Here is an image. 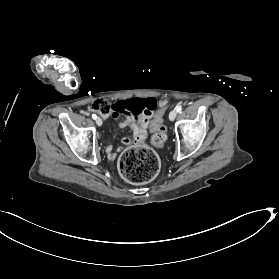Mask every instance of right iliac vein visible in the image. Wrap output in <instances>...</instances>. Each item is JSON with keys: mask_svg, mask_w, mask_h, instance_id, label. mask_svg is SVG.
I'll return each instance as SVG.
<instances>
[{"mask_svg": "<svg viewBox=\"0 0 279 279\" xmlns=\"http://www.w3.org/2000/svg\"><path fill=\"white\" fill-rule=\"evenodd\" d=\"M96 124L98 126H101L102 125V119L100 117L96 118Z\"/></svg>", "mask_w": 279, "mask_h": 279, "instance_id": "63e3f726", "label": "right iliac vein"}]
</instances>
